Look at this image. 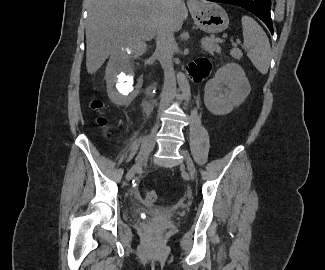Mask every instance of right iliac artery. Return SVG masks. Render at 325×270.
<instances>
[{"label":"right iliac artery","instance_id":"obj_1","mask_svg":"<svg viewBox=\"0 0 325 270\" xmlns=\"http://www.w3.org/2000/svg\"><path fill=\"white\" fill-rule=\"evenodd\" d=\"M145 147H146V140L144 141V143L142 144V146H141V149H140V152H139V154H138V156L144 151V149H145ZM137 156V157H138Z\"/></svg>","mask_w":325,"mask_h":270}]
</instances>
